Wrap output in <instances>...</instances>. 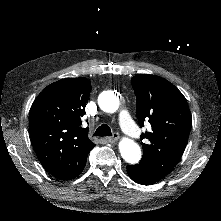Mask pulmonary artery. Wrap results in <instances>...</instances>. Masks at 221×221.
<instances>
[{"instance_id": "1", "label": "pulmonary artery", "mask_w": 221, "mask_h": 221, "mask_svg": "<svg viewBox=\"0 0 221 221\" xmlns=\"http://www.w3.org/2000/svg\"><path fill=\"white\" fill-rule=\"evenodd\" d=\"M119 123L122 126V130L131 136H137L140 133V128L132 123V120L127 113H122L119 116Z\"/></svg>"}]
</instances>
